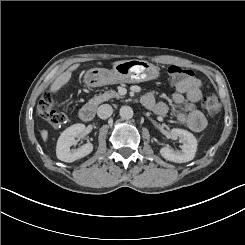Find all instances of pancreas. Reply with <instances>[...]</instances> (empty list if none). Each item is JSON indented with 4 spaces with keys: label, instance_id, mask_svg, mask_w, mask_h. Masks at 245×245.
Wrapping results in <instances>:
<instances>
[{
    "label": "pancreas",
    "instance_id": "obj_1",
    "mask_svg": "<svg viewBox=\"0 0 245 245\" xmlns=\"http://www.w3.org/2000/svg\"><path fill=\"white\" fill-rule=\"evenodd\" d=\"M117 98L121 99L122 97L114 90L106 91L102 94L94 96L90 100H88V104L98 106L99 104L103 103L104 101H108L109 99Z\"/></svg>",
    "mask_w": 245,
    "mask_h": 245
}]
</instances>
